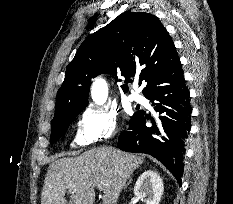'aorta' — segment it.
Masks as SVG:
<instances>
[{"label":"aorta","mask_w":233,"mask_h":204,"mask_svg":"<svg viewBox=\"0 0 233 204\" xmlns=\"http://www.w3.org/2000/svg\"><path fill=\"white\" fill-rule=\"evenodd\" d=\"M91 96L98 105H103L108 97V86L105 80L97 78L91 87Z\"/></svg>","instance_id":"obj_1"}]
</instances>
